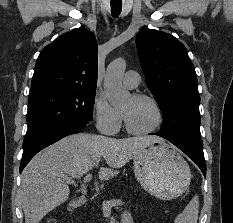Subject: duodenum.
Instances as JSON below:
<instances>
[{"label":"duodenum","mask_w":233,"mask_h":223,"mask_svg":"<svg viewBox=\"0 0 233 223\" xmlns=\"http://www.w3.org/2000/svg\"><path fill=\"white\" fill-rule=\"evenodd\" d=\"M86 202L87 199L85 196L77 197L68 204V211L72 213L78 208L82 207Z\"/></svg>","instance_id":"1"}]
</instances>
